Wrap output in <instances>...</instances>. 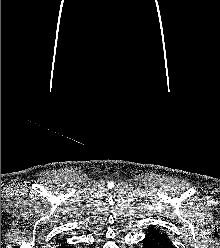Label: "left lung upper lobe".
Masks as SVG:
<instances>
[{
  "label": "left lung upper lobe",
  "instance_id": "5c2ea615",
  "mask_svg": "<svg viewBox=\"0 0 220 248\" xmlns=\"http://www.w3.org/2000/svg\"><path fill=\"white\" fill-rule=\"evenodd\" d=\"M162 234H163V236L167 237V235L165 233H162Z\"/></svg>",
  "mask_w": 220,
  "mask_h": 248
}]
</instances>
